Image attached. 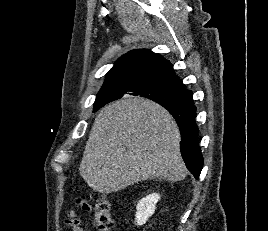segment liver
<instances>
[{
  "instance_id": "liver-1",
  "label": "liver",
  "mask_w": 268,
  "mask_h": 231,
  "mask_svg": "<svg viewBox=\"0 0 268 231\" xmlns=\"http://www.w3.org/2000/svg\"><path fill=\"white\" fill-rule=\"evenodd\" d=\"M180 131L170 113L142 97L103 107L92 126L79 171L90 188L112 193L141 180L181 181L186 168Z\"/></svg>"
}]
</instances>
